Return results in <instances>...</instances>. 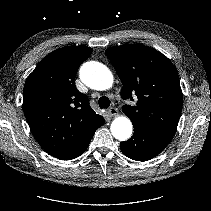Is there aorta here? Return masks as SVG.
I'll list each match as a JSON object with an SVG mask.
<instances>
[{"instance_id": "obj_1", "label": "aorta", "mask_w": 211, "mask_h": 211, "mask_svg": "<svg viewBox=\"0 0 211 211\" xmlns=\"http://www.w3.org/2000/svg\"><path fill=\"white\" fill-rule=\"evenodd\" d=\"M79 74L83 83L95 90H106L113 84L111 71L96 61L83 64ZM110 129L116 139L125 141L131 137L132 123L128 117L119 116L113 120Z\"/></svg>"}]
</instances>
